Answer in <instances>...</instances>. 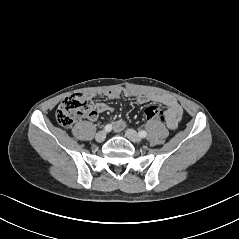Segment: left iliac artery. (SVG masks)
Masks as SVG:
<instances>
[{"instance_id": "obj_1", "label": "left iliac artery", "mask_w": 239, "mask_h": 239, "mask_svg": "<svg viewBox=\"0 0 239 239\" xmlns=\"http://www.w3.org/2000/svg\"><path fill=\"white\" fill-rule=\"evenodd\" d=\"M139 137H141V138H144V137H146L147 136V132L146 131H144V130H141V131H139Z\"/></svg>"}]
</instances>
